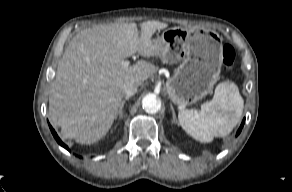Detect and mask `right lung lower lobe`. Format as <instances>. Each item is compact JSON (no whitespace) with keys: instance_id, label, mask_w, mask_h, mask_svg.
<instances>
[{"instance_id":"1","label":"right lung lower lobe","mask_w":292,"mask_h":192,"mask_svg":"<svg viewBox=\"0 0 292 192\" xmlns=\"http://www.w3.org/2000/svg\"><path fill=\"white\" fill-rule=\"evenodd\" d=\"M50 129H51V132L54 136V138L56 139V141L61 145L63 146L65 149L69 150L68 147L60 140V138L58 137V135L56 134L55 130L52 128L51 125H49Z\"/></svg>"}]
</instances>
